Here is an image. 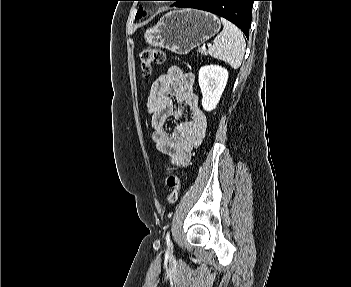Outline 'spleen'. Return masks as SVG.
Listing matches in <instances>:
<instances>
[{"mask_svg":"<svg viewBox=\"0 0 351 287\" xmlns=\"http://www.w3.org/2000/svg\"><path fill=\"white\" fill-rule=\"evenodd\" d=\"M222 32L214 39V44L208 53L219 60L228 63L232 68L241 66L245 53V39L243 33L231 22L221 18Z\"/></svg>","mask_w":351,"mask_h":287,"instance_id":"1","label":"spleen"}]
</instances>
